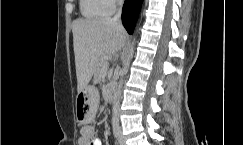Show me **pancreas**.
I'll use <instances>...</instances> for the list:
<instances>
[{"mask_svg":"<svg viewBox=\"0 0 243 145\" xmlns=\"http://www.w3.org/2000/svg\"><path fill=\"white\" fill-rule=\"evenodd\" d=\"M108 65V61L103 59L100 61L99 63V66H98V69L95 73V80L98 82L102 79V76L105 75V70H106V67Z\"/></svg>","mask_w":243,"mask_h":145,"instance_id":"cf45deb5","label":"pancreas"}]
</instances>
